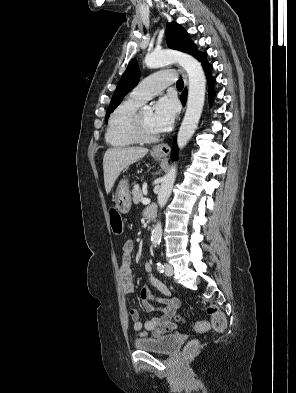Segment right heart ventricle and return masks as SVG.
<instances>
[{
	"instance_id": "obj_1",
	"label": "right heart ventricle",
	"mask_w": 296,
	"mask_h": 393,
	"mask_svg": "<svg viewBox=\"0 0 296 393\" xmlns=\"http://www.w3.org/2000/svg\"><path fill=\"white\" fill-rule=\"evenodd\" d=\"M141 104L128 98L111 113L106 133V142L114 148H126L138 143L132 134V125Z\"/></svg>"
}]
</instances>
